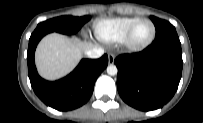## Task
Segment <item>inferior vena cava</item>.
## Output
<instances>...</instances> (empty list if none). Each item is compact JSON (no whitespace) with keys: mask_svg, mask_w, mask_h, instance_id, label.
Instances as JSON below:
<instances>
[{"mask_svg":"<svg viewBox=\"0 0 203 123\" xmlns=\"http://www.w3.org/2000/svg\"><path fill=\"white\" fill-rule=\"evenodd\" d=\"M104 54V50L101 47H93L85 51V56L87 58L96 59Z\"/></svg>","mask_w":203,"mask_h":123,"instance_id":"obj_1","label":"inferior vena cava"}]
</instances>
